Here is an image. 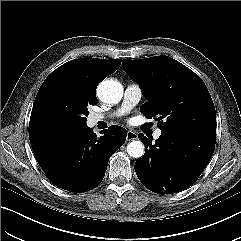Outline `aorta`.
Returning <instances> with one entry per match:
<instances>
[{
    "label": "aorta",
    "instance_id": "1",
    "mask_svg": "<svg viewBox=\"0 0 241 241\" xmlns=\"http://www.w3.org/2000/svg\"><path fill=\"white\" fill-rule=\"evenodd\" d=\"M98 95L105 103H118L123 95V87L115 80L102 81L98 86ZM127 153L133 158H140L144 154V145L139 140H133L127 145Z\"/></svg>",
    "mask_w": 241,
    "mask_h": 241
}]
</instances>
